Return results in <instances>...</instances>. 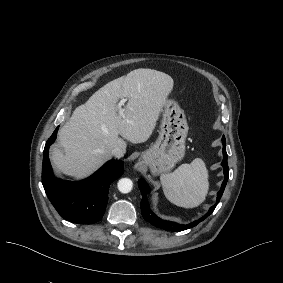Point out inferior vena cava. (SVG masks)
<instances>
[{
    "instance_id": "602c4592",
    "label": "inferior vena cava",
    "mask_w": 283,
    "mask_h": 283,
    "mask_svg": "<svg viewBox=\"0 0 283 283\" xmlns=\"http://www.w3.org/2000/svg\"><path fill=\"white\" fill-rule=\"evenodd\" d=\"M125 154V151H123L122 149L116 147L112 150V155L115 157V158H122Z\"/></svg>"
}]
</instances>
